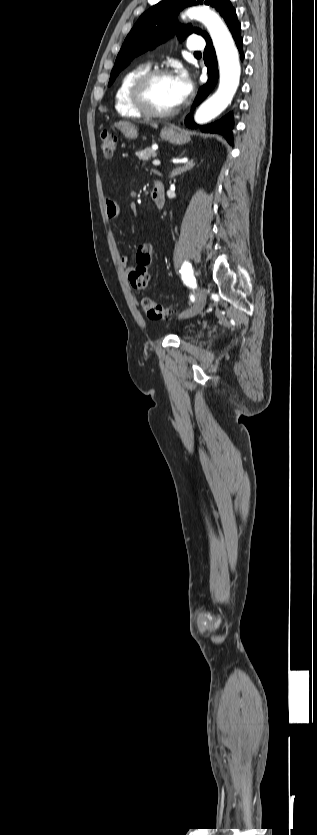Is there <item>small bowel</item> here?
<instances>
[{"label":"small bowel","instance_id":"1","mask_svg":"<svg viewBox=\"0 0 317 835\" xmlns=\"http://www.w3.org/2000/svg\"><path fill=\"white\" fill-rule=\"evenodd\" d=\"M106 213H107L108 218L111 219V220H115L119 217L120 208H119V205L117 204V202L115 200H113L111 198H107V200H106ZM151 253H154V249H153V246L150 243L140 244L139 247H138V250H137V254H136L137 263L139 262V260H147L148 257L151 255ZM150 260H151V258H150ZM120 263H121L122 266L127 268L128 264H129V258L126 255H121ZM129 270L131 271L132 268H129Z\"/></svg>","mask_w":317,"mask_h":835}]
</instances>
